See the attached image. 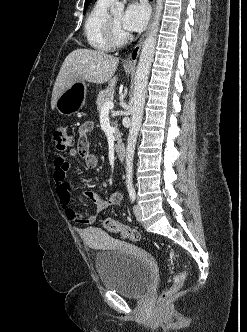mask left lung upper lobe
<instances>
[{"label":"left lung upper lobe","mask_w":247,"mask_h":332,"mask_svg":"<svg viewBox=\"0 0 247 332\" xmlns=\"http://www.w3.org/2000/svg\"><path fill=\"white\" fill-rule=\"evenodd\" d=\"M91 0H85V5H84V13L88 7V5L90 4Z\"/></svg>","instance_id":"obj_1"}]
</instances>
